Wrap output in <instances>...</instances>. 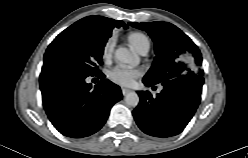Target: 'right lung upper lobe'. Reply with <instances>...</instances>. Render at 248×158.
<instances>
[{"label":"right lung upper lobe","mask_w":248,"mask_h":158,"mask_svg":"<svg viewBox=\"0 0 248 158\" xmlns=\"http://www.w3.org/2000/svg\"><path fill=\"white\" fill-rule=\"evenodd\" d=\"M94 37L106 40L111 36L114 27H127L122 21H116L102 16H88L78 21Z\"/></svg>","instance_id":"right-lung-upper-lobe-1"}]
</instances>
